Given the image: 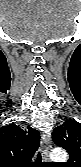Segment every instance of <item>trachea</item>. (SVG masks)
I'll return each mask as SVG.
<instances>
[{"mask_svg": "<svg viewBox=\"0 0 81 167\" xmlns=\"http://www.w3.org/2000/svg\"><path fill=\"white\" fill-rule=\"evenodd\" d=\"M37 162H40L41 161V154L40 153H38L37 154V160H36Z\"/></svg>", "mask_w": 81, "mask_h": 167, "instance_id": "obj_1", "label": "trachea"}]
</instances>
